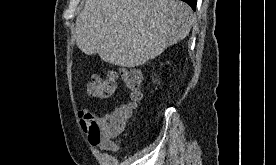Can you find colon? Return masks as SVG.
I'll use <instances>...</instances> for the list:
<instances>
[{
	"instance_id": "colon-1",
	"label": "colon",
	"mask_w": 276,
	"mask_h": 165,
	"mask_svg": "<svg viewBox=\"0 0 276 165\" xmlns=\"http://www.w3.org/2000/svg\"><path fill=\"white\" fill-rule=\"evenodd\" d=\"M121 74L126 87L130 90L132 103L121 106L103 119L97 118L92 113L82 117L83 129L93 145L112 143V138L125 130L132 115L134 103L142 97L141 73L134 69H125ZM116 87L117 77L114 73H108L106 76L94 74L87 85V91L93 97L109 99L114 95Z\"/></svg>"
}]
</instances>
